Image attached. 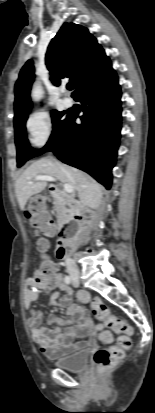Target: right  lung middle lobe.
<instances>
[{"instance_id": "right-lung-middle-lobe-1", "label": "right lung middle lobe", "mask_w": 155, "mask_h": 413, "mask_svg": "<svg viewBox=\"0 0 155 413\" xmlns=\"http://www.w3.org/2000/svg\"><path fill=\"white\" fill-rule=\"evenodd\" d=\"M64 115H65L64 111L58 112L56 110H53L51 112L53 131L45 147H43L40 150L33 149L29 145L28 140L26 138L25 123H26L27 117H24L14 122L15 143H16V148H17V166L18 167H21L27 160L42 154L45 151V149L53 142V140L56 138V136L59 134V132L61 131V129L66 123V118L63 117Z\"/></svg>"}]
</instances>
